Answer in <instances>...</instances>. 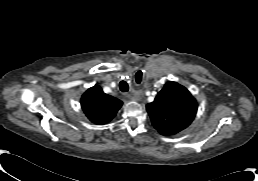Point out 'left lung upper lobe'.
I'll list each match as a JSON object with an SVG mask.
<instances>
[{
    "mask_svg": "<svg viewBox=\"0 0 258 181\" xmlns=\"http://www.w3.org/2000/svg\"><path fill=\"white\" fill-rule=\"evenodd\" d=\"M146 109L160 134L173 135L190 125L197 112V103L185 87L168 82Z\"/></svg>",
    "mask_w": 258,
    "mask_h": 181,
    "instance_id": "left-lung-upper-lobe-1",
    "label": "left lung upper lobe"
}]
</instances>
